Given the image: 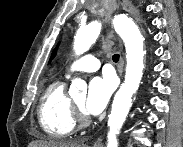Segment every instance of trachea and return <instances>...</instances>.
<instances>
[{
	"mask_svg": "<svg viewBox=\"0 0 183 147\" xmlns=\"http://www.w3.org/2000/svg\"><path fill=\"white\" fill-rule=\"evenodd\" d=\"M119 58H120L119 54H114V55L112 56V60H113L114 62H118V61H119Z\"/></svg>",
	"mask_w": 183,
	"mask_h": 147,
	"instance_id": "3493384b",
	"label": "trachea"
}]
</instances>
